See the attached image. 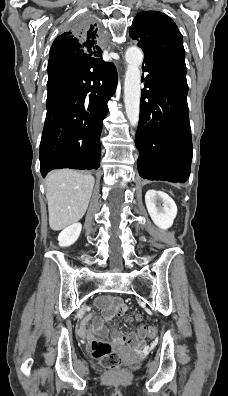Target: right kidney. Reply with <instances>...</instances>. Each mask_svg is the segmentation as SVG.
<instances>
[{"label": "right kidney", "instance_id": "right-kidney-1", "mask_svg": "<svg viewBox=\"0 0 228 396\" xmlns=\"http://www.w3.org/2000/svg\"><path fill=\"white\" fill-rule=\"evenodd\" d=\"M81 223H74L65 228L58 236L59 245L61 247H68L74 244L81 233Z\"/></svg>", "mask_w": 228, "mask_h": 396}]
</instances>
